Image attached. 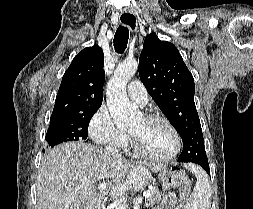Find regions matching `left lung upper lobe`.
<instances>
[{
	"mask_svg": "<svg viewBox=\"0 0 253 209\" xmlns=\"http://www.w3.org/2000/svg\"><path fill=\"white\" fill-rule=\"evenodd\" d=\"M139 76L155 103L183 140L179 162L207 160L199 116L194 103L195 84L178 49L155 33L144 41Z\"/></svg>",
	"mask_w": 253,
	"mask_h": 209,
	"instance_id": "5c2ea615",
	"label": "left lung upper lobe"
}]
</instances>
